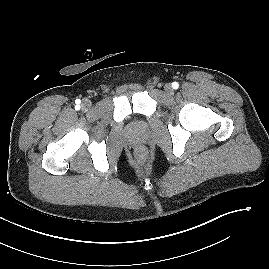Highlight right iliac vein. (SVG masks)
<instances>
[{"label": "right iliac vein", "mask_w": 269, "mask_h": 269, "mask_svg": "<svg viewBox=\"0 0 269 269\" xmlns=\"http://www.w3.org/2000/svg\"><path fill=\"white\" fill-rule=\"evenodd\" d=\"M91 107V101L90 100H84L83 102H82V108L83 109H85V110H87V109H89Z\"/></svg>", "instance_id": "63e3f726"}]
</instances>
